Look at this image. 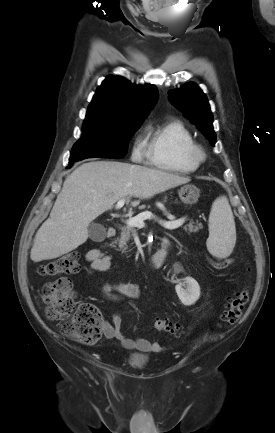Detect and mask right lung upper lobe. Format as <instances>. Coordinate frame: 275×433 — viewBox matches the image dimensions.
<instances>
[{"label":"right lung upper lobe","mask_w":275,"mask_h":433,"mask_svg":"<svg viewBox=\"0 0 275 433\" xmlns=\"http://www.w3.org/2000/svg\"><path fill=\"white\" fill-rule=\"evenodd\" d=\"M158 96L155 86H136L124 79L108 76L96 90L85 122L121 124L142 121Z\"/></svg>","instance_id":"cb5924a9"}]
</instances>
